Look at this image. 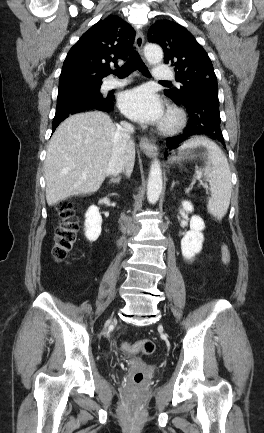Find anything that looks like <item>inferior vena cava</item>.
Listing matches in <instances>:
<instances>
[{
	"label": "inferior vena cava",
	"instance_id": "602c4592",
	"mask_svg": "<svg viewBox=\"0 0 264 433\" xmlns=\"http://www.w3.org/2000/svg\"><path fill=\"white\" fill-rule=\"evenodd\" d=\"M134 132V127L125 121H122L116 127V151L109 165L107 176L117 175L125 169V154L128 149L130 135Z\"/></svg>",
	"mask_w": 264,
	"mask_h": 433
}]
</instances>
